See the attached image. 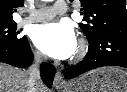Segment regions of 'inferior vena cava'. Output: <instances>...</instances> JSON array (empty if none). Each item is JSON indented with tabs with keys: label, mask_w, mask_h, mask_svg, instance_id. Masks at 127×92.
<instances>
[{
	"label": "inferior vena cava",
	"mask_w": 127,
	"mask_h": 92,
	"mask_svg": "<svg viewBox=\"0 0 127 92\" xmlns=\"http://www.w3.org/2000/svg\"><path fill=\"white\" fill-rule=\"evenodd\" d=\"M43 57L40 53H35L34 55V63L28 70L29 78H28V90L27 92H37V85L41 83L40 77V64L43 62Z\"/></svg>",
	"instance_id": "1"
}]
</instances>
